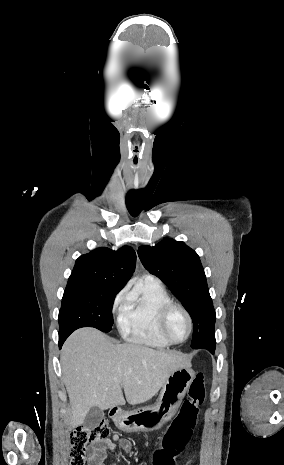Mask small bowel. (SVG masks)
I'll list each match as a JSON object with an SVG mask.
<instances>
[{"instance_id":"1","label":"small bowel","mask_w":284,"mask_h":465,"mask_svg":"<svg viewBox=\"0 0 284 465\" xmlns=\"http://www.w3.org/2000/svg\"><path fill=\"white\" fill-rule=\"evenodd\" d=\"M117 446L124 449L127 454H131L132 452V446L129 440L120 438L117 434H113L105 442L94 445L90 455L91 465H102L108 452H114Z\"/></svg>"}]
</instances>
